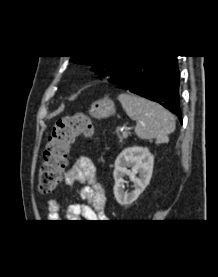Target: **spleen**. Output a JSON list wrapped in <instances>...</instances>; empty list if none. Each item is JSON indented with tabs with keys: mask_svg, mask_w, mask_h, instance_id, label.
<instances>
[{
	"mask_svg": "<svg viewBox=\"0 0 218 277\" xmlns=\"http://www.w3.org/2000/svg\"><path fill=\"white\" fill-rule=\"evenodd\" d=\"M118 100L126 114L137 122L135 133L139 138L166 142L175 130L174 117L161 105L127 93L120 94Z\"/></svg>",
	"mask_w": 218,
	"mask_h": 277,
	"instance_id": "spleen-1",
	"label": "spleen"
}]
</instances>
